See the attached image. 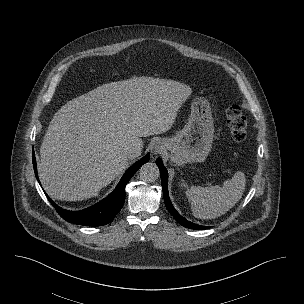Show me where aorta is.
<instances>
[{
	"label": "aorta",
	"mask_w": 304,
	"mask_h": 304,
	"mask_svg": "<svg viewBox=\"0 0 304 304\" xmlns=\"http://www.w3.org/2000/svg\"><path fill=\"white\" fill-rule=\"evenodd\" d=\"M140 178L144 182H154L159 178V169L155 163H145L139 170Z\"/></svg>",
	"instance_id": "aorta-1"
}]
</instances>
